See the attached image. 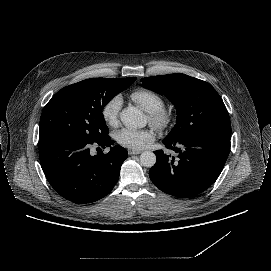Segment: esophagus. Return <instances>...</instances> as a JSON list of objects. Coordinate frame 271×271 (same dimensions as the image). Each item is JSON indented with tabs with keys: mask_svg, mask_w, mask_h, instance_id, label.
Segmentation results:
<instances>
[{
	"mask_svg": "<svg viewBox=\"0 0 271 271\" xmlns=\"http://www.w3.org/2000/svg\"><path fill=\"white\" fill-rule=\"evenodd\" d=\"M141 152H142V150H139V149H129L128 150L129 155H137V154H140Z\"/></svg>",
	"mask_w": 271,
	"mask_h": 271,
	"instance_id": "1",
	"label": "esophagus"
}]
</instances>
